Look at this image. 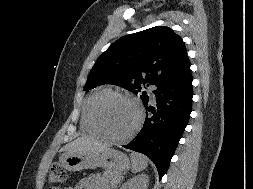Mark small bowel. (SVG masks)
<instances>
[{"instance_id":"1","label":"small bowel","mask_w":253,"mask_h":189,"mask_svg":"<svg viewBox=\"0 0 253 189\" xmlns=\"http://www.w3.org/2000/svg\"><path fill=\"white\" fill-rule=\"evenodd\" d=\"M52 189H62V188L53 187ZM65 189H102V185L98 177L90 176L80 180L76 185L66 187Z\"/></svg>"}]
</instances>
